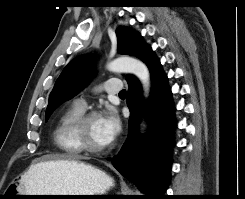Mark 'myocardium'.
Wrapping results in <instances>:
<instances>
[{"label":"myocardium","mask_w":245,"mask_h":199,"mask_svg":"<svg viewBox=\"0 0 245 199\" xmlns=\"http://www.w3.org/2000/svg\"><path fill=\"white\" fill-rule=\"evenodd\" d=\"M96 116H100V113L97 110L83 112V114L74 122L73 135L76 143L79 145L82 151L99 154L107 151L109 146L107 145L105 147H96L91 145L86 139L87 123Z\"/></svg>","instance_id":"obj_1"}]
</instances>
